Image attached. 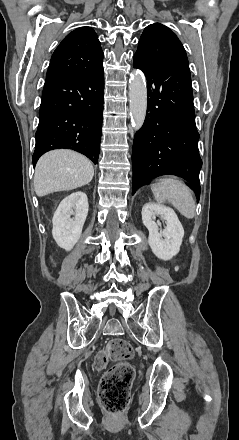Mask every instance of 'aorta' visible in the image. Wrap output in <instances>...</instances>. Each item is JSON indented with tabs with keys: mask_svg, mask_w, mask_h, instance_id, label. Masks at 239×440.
<instances>
[{
	"mask_svg": "<svg viewBox=\"0 0 239 440\" xmlns=\"http://www.w3.org/2000/svg\"><path fill=\"white\" fill-rule=\"evenodd\" d=\"M130 114L134 130H140L144 124L147 110V88L142 76L135 72L130 84Z\"/></svg>",
	"mask_w": 239,
	"mask_h": 440,
	"instance_id": "762f6f07",
	"label": "aorta"
}]
</instances>
